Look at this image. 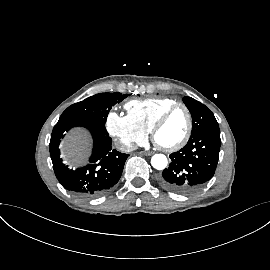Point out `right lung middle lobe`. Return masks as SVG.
<instances>
[{
    "instance_id": "dd1d6c3e",
    "label": "right lung middle lobe",
    "mask_w": 270,
    "mask_h": 270,
    "mask_svg": "<svg viewBox=\"0 0 270 270\" xmlns=\"http://www.w3.org/2000/svg\"><path fill=\"white\" fill-rule=\"evenodd\" d=\"M129 94L99 93L68 107L60 116L59 121L72 119H91L103 125L112 106L120 103Z\"/></svg>"
}]
</instances>
